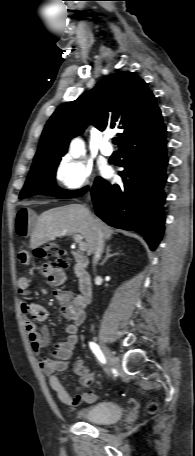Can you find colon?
<instances>
[{"label":"colon","instance_id":"1","mask_svg":"<svg viewBox=\"0 0 195 456\" xmlns=\"http://www.w3.org/2000/svg\"><path fill=\"white\" fill-rule=\"evenodd\" d=\"M36 257L45 260L46 264L54 268H62L66 266V260L63 250L54 243L47 244L46 246L36 250ZM157 410V404L151 403L148 406V411L154 413Z\"/></svg>","mask_w":195,"mask_h":456}]
</instances>
